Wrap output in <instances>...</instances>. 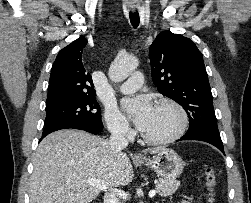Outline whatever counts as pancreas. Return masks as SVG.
Masks as SVG:
<instances>
[{"label": "pancreas", "mask_w": 251, "mask_h": 203, "mask_svg": "<svg viewBox=\"0 0 251 203\" xmlns=\"http://www.w3.org/2000/svg\"><path fill=\"white\" fill-rule=\"evenodd\" d=\"M180 186V181L174 179H163L159 182L156 192L160 196H168L173 194Z\"/></svg>", "instance_id": "cf45deb5"}]
</instances>
